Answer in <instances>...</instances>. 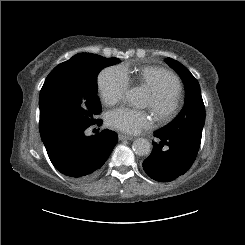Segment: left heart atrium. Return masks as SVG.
<instances>
[{"mask_svg":"<svg viewBox=\"0 0 245 245\" xmlns=\"http://www.w3.org/2000/svg\"><path fill=\"white\" fill-rule=\"evenodd\" d=\"M106 122L110 128L128 134H137L152 126V119L147 112L129 107H120L111 111Z\"/></svg>","mask_w":245,"mask_h":245,"instance_id":"39dd6f15","label":"left heart atrium"}]
</instances>
